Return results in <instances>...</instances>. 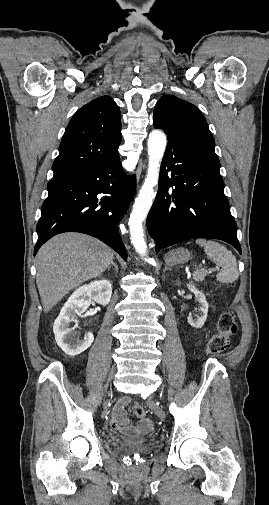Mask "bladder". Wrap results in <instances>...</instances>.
Returning a JSON list of instances; mask_svg holds the SVG:
<instances>
[{
	"label": "bladder",
	"instance_id": "31cf9c89",
	"mask_svg": "<svg viewBox=\"0 0 269 505\" xmlns=\"http://www.w3.org/2000/svg\"><path fill=\"white\" fill-rule=\"evenodd\" d=\"M123 441L129 442L134 445H140L149 442V439L147 437H136V438H124Z\"/></svg>",
	"mask_w": 269,
	"mask_h": 505
}]
</instances>
